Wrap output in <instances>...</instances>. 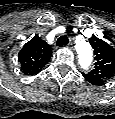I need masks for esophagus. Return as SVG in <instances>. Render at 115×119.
Listing matches in <instances>:
<instances>
[{
  "instance_id": "esophagus-1",
  "label": "esophagus",
  "mask_w": 115,
  "mask_h": 119,
  "mask_svg": "<svg viewBox=\"0 0 115 119\" xmlns=\"http://www.w3.org/2000/svg\"><path fill=\"white\" fill-rule=\"evenodd\" d=\"M67 47H68L70 50H74V48H73V46H72L71 43H69Z\"/></svg>"
}]
</instances>
